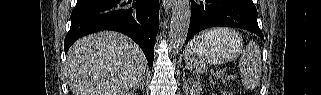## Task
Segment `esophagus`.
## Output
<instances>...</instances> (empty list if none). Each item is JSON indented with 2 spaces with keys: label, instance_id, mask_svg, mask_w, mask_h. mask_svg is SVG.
Instances as JSON below:
<instances>
[{
  "label": "esophagus",
  "instance_id": "34e87169",
  "mask_svg": "<svg viewBox=\"0 0 321 95\" xmlns=\"http://www.w3.org/2000/svg\"><path fill=\"white\" fill-rule=\"evenodd\" d=\"M173 1L172 0H163L162 5L165 9H169L172 5Z\"/></svg>",
  "mask_w": 321,
  "mask_h": 95
}]
</instances>
